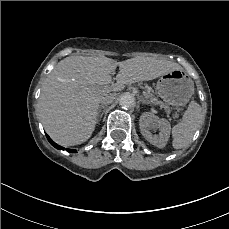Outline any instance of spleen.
Returning a JSON list of instances; mask_svg holds the SVG:
<instances>
[{"mask_svg": "<svg viewBox=\"0 0 229 229\" xmlns=\"http://www.w3.org/2000/svg\"><path fill=\"white\" fill-rule=\"evenodd\" d=\"M204 116L198 103H192L182 118L171 130L173 147L176 149L187 147L195 132L203 125Z\"/></svg>", "mask_w": 229, "mask_h": 229, "instance_id": "obj_1", "label": "spleen"}]
</instances>
